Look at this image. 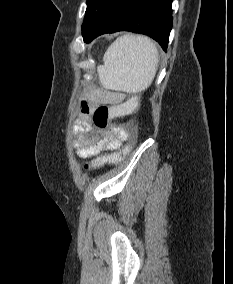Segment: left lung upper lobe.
Segmentation results:
<instances>
[{
  "instance_id": "left-lung-upper-lobe-1",
  "label": "left lung upper lobe",
  "mask_w": 233,
  "mask_h": 284,
  "mask_svg": "<svg viewBox=\"0 0 233 284\" xmlns=\"http://www.w3.org/2000/svg\"><path fill=\"white\" fill-rule=\"evenodd\" d=\"M104 0H87L86 16L82 24V35L84 36L92 26L96 10L103 3Z\"/></svg>"
}]
</instances>
